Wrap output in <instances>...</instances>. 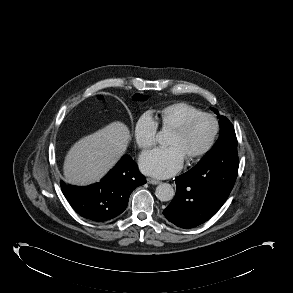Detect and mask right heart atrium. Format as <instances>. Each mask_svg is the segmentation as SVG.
<instances>
[{"label": "right heart atrium", "instance_id": "obj_1", "mask_svg": "<svg viewBox=\"0 0 293 293\" xmlns=\"http://www.w3.org/2000/svg\"><path fill=\"white\" fill-rule=\"evenodd\" d=\"M157 121L149 113H143L134 124V139L142 150L151 148L156 142Z\"/></svg>", "mask_w": 293, "mask_h": 293}]
</instances>
